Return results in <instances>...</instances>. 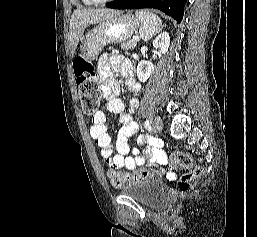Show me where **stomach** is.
Masks as SVG:
<instances>
[{
  "mask_svg": "<svg viewBox=\"0 0 257 237\" xmlns=\"http://www.w3.org/2000/svg\"><path fill=\"white\" fill-rule=\"evenodd\" d=\"M139 26L140 22L136 17L120 12L97 23L82 39L83 58L94 60L106 45L130 39Z\"/></svg>",
  "mask_w": 257,
  "mask_h": 237,
  "instance_id": "0dacf381",
  "label": "stomach"
}]
</instances>
